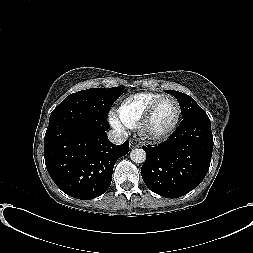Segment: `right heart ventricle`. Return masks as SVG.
Masks as SVG:
<instances>
[{"label": "right heart ventricle", "instance_id": "right-heart-ventricle-1", "mask_svg": "<svg viewBox=\"0 0 253 253\" xmlns=\"http://www.w3.org/2000/svg\"><path fill=\"white\" fill-rule=\"evenodd\" d=\"M161 95L144 92L126 98L116 110L117 120L127 128H137L148 107Z\"/></svg>", "mask_w": 253, "mask_h": 253}]
</instances>
